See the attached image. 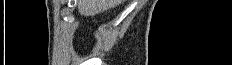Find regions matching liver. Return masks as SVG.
I'll list each match as a JSON object with an SVG mask.
<instances>
[{
  "label": "liver",
  "instance_id": "obj_1",
  "mask_svg": "<svg viewBox=\"0 0 232 65\" xmlns=\"http://www.w3.org/2000/svg\"><path fill=\"white\" fill-rule=\"evenodd\" d=\"M78 11L84 16H93L97 13L111 9L124 0H77Z\"/></svg>",
  "mask_w": 232,
  "mask_h": 65
}]
</instances>
